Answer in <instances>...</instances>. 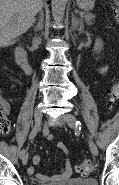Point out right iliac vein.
<instances>
[{
    "mask_svg": "<svg viewBox=\"0 0 119 185\" xmlns=\"http://www.w3.org/2000/svg\"><path fill=\"white\" fill-rule=\"evenodd\" d=\"M33 119H34L33 129L38 131L40 128L41 121H42V113L40 109L38 108L35 109ZM21 159H22L23 165H26L28 162V154L25 153Z\"/></svg>",
    "mask_w": 119,
    "mask_h": 185,
    "instance_id": "obj_1",
    "label": "right iliac vein"
}]
</instances>
